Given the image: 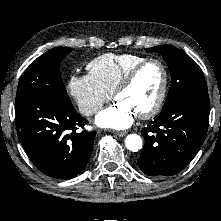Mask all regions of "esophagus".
Returning a JSON list of instances; mask_svg holds the SVG:
<instances>
[{
    "label": "esophagus",
    "mask_w": 221,
    "mask_h": 221,
    "mask_svg": "<svg viewBox=\"0 0 221 221\" xmlns=\"http://www.w3.org/2000/svg\"><path fill=\"white\" fill-rule=\"evenodd\" d=\"M114 134L118 135L119 137H123L127 134L126 131H115Z\"/></svg>",
    "instance_id": "34e87169"
}]
</instances>
